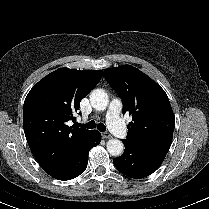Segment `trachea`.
I'll return each instance as SVG.
<instances>
[{"instance_id": "trachea-1", "label": "trachea", "mask_w": 209, "mask_h": 209, "mask_svg": "<svg viewBox=\"0 0 209 209\" xmlns=\"http://www.w3.org/2000/svg\"><path fill=\"white\" fill-rule=\"evenodd\" d=\"M77 126L78 127H85L87 129H93V128L97 127V129L101 132L106 131V126L103 123L96 124L95 121H93V120L88 122L85 125L81 124V123H77Z\"/></svg>"}]
</instances>
